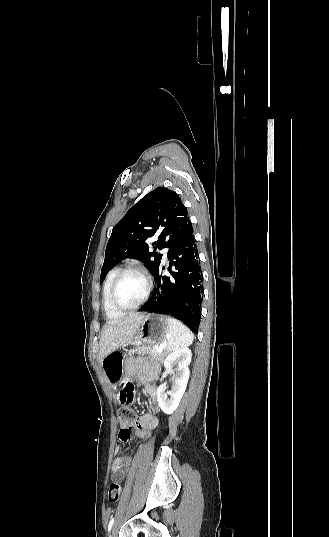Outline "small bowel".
I'll return each instance as SVG.
<instances>
[{
	"instance_id": "obj_1",
	"label": "small bowel",
	"mask_w": 329,
	"mask_h": 537,
	"mask_svg": "<svg viewBox=\"0 0 329 537\" xmlns=\"http://www.w3.org/2000/svg\"><path fill=\"white\" fill-rule=\"evenodd\" d=\"M157 375L158 368L141 359H130L126 362V377L121 379V384L119 385L120 404L123 406L129 405L132 399L135 398L136 393L134 391V383L132 382V378L134 377H138L144 383V392L151 397L153 403L151 410L140 417L137 424L130 430V433L125 429L119 431L118 436L120 441L127 443L135 437L145 439L149 436L150 430L157 426V388L150 383L156 379ZM114 453L116 459L112 466V478L123 480L126 474L125 467L131 463L132 459L129 456L122 455V448L120 446L115 447Z\"/></svg>"
}]
</instances>
